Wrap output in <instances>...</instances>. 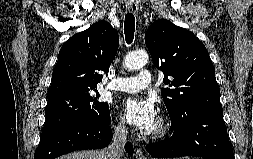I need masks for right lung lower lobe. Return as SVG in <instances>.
<instances>
[{
	"label": "right lung lower lobe",
	"mask_w": 253,
	"mask_h": 159,
	"mask_svg": "<svg viewBox=\"0 0 253 159\" xmlns=\"http://www.w3.org/2000/svg\"><path fill=\"white\" fill-rule=\"evenodd\" d=\"M110 123L109 113L102 122L82 120L68 124L41 138L34 159H55L75 150L104 148L112 139ZM125 150L133 154L132 144L128 142Z\"/></svg>",
	"instance_id": "98d812e1"
}]
</instances>
